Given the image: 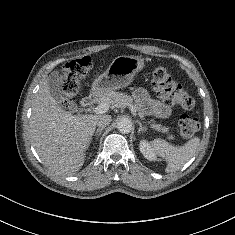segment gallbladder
Segmentation results:
<instances>
[{"instance_id":"gallbladder-1","label":"gallbladder","mask_w":235,"mask_h":235,"mask_svg":"<svg viewBox=\"0 0 235 235\" xmlns=\"http://www.w3.org/2000/svg\"><path fill=\"white\" fill-rule=\"evenodd\" d=\"M48 83H49V87H50V92L56 100H59L62 104L69 107V109L72 112H77L79 110V108L76 104H72L71 102H69L63 98L62 92L59 89V85H60L61 81H60L59 74L57 72H54L50 75V77L48 78Z\"/></svg>"}]
</instances>
